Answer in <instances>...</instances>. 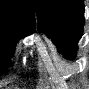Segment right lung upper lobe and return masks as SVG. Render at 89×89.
<instances>
[{"label": "right lung upper lobe", "mask_w": 89, "mask_h": 89, "mask_svg": "<svg viewBox=\"0 0 89 89\" xmlns=\"http://www.w3.org/2000/svg\"><path fill=\"white\" fill-rule=\"evenodd\" d=\"M0 21L16 23L35 30L33 0H0Z\"/></svg>", "instance_id": "cb5924a9"}]
</instances>
